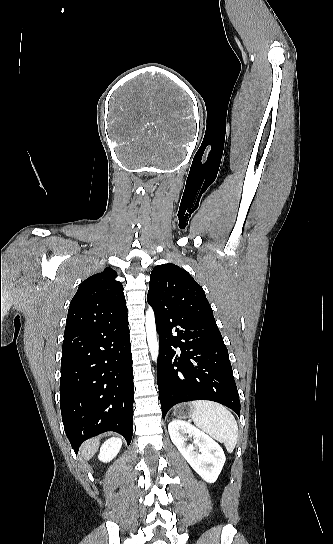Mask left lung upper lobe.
<instances>
[{
    "label": "left lung upper lobe",
    "mask_w": 333,
    "mask_h": 544,
    "mask_svg": "<svg viewBox=\"0 0 333 544\" xmlns=\"http://www.w3.org/2000/svg\"><path fill=\"white\" fill-rule=\"evenodd\" d=\"M147 301L152 307L217 326L203 288L177 265L167 263L152 270Z\"/></svg>",
    "instance_id": "5c2ea615"
}]
</instances>
